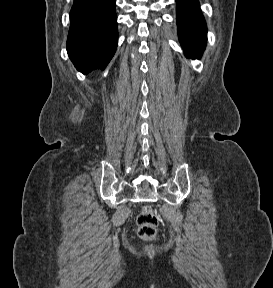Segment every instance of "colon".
Masks as SVG:
<instances>
[{
	"label": "colon",
	"instance_id": "5ec220e1",
	"mask_svg": "<svg viewBox=\"0 0 273 288\" xmlns=\"http://www.w3.org/2000/svg\"><path fill=\"white\" fill-rule=\"evenodd\" d=\"M138 235L140 238L151 241L156 237L158 217L150 206H143L137 216Z\"/></svg>",
	"mask_w": 273,
	"mask_h": 288
}]
</instances>
